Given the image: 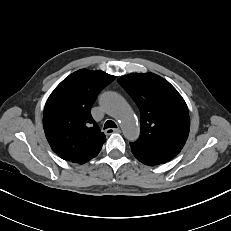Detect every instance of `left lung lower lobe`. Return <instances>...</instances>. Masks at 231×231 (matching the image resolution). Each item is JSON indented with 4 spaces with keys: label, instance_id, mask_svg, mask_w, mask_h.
Here are the masks:
<instances>
[{
    "label": "left lung lower lobe",
    "instance_id": "obj_1",
    "mask_svg": "<svg viewBox=\"0 0 231 231\" xmlns=\"http://www.w3.org/2000/svg\"><path fill=\"white\" fill-rule=\"evenodd\" d=\"M133 155L143 164L154 166L162 163H166L173 157L160 153L145 152L134 147H131Z\"/></svg>",
    "mask_w": 231,
    "mask_h": 231
}]
</instances>
